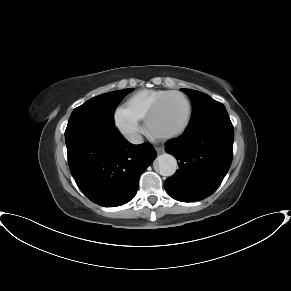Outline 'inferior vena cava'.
I'll use <instances>...</instances> for the list:
<instances>
[{
	"instance_id": "inferior-vena-cava-1",
	"label": "inferior vena cava",
	"mask_w": 291,
	"mask_h": 291,
	"mask_svg": "<svg viewBox=\"0 0 291 291\" xmlns=\"http://www.w3.org/2000/svg\"><path fill=\"white\" fill-rule=\"evenodd\" d=\"M128 140L133 144H141L143 143V138L138 133H132L128 136Z\"/></svg>"
}]
</instances>
